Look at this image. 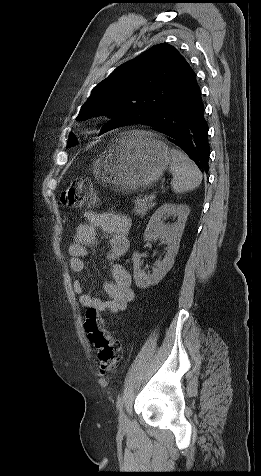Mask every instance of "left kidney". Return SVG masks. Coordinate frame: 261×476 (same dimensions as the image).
<instances>
[{"label": "left kidney", "mask_w": 261, "mask_h": 476, "mask_svg": "<svg viewBox=\"0 0 261 476\" xmlns=\"http://www.w3.org/2000/svg\"><path fill=\"white\" fill-rule=\"evenodd\" d=\"M189 212L190 209L187 205L166 203L159 207L151 216L144 232V240H162L167 245V253L162 261L155 263V268L152 273H145V271L141 269L142 255L138 252L133 254V276L137 287L147 288L151 285L158 284L172 268L175 256L179 250L180 240ZM169 215L177 216V222L175 224L165 225L163 223L162 219Z\"/></svg>", "instance_id": "obj_1"}]
</instances>
